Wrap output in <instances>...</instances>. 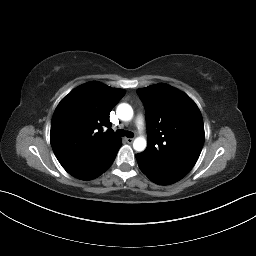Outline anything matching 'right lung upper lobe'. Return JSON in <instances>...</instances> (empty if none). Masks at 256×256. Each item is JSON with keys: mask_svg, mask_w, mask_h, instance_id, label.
I'll return each mask as SVG.
<instances>
[{"mask_svg": "<svg viewBox=\"0 0 256 256\" xmlns=\"http://www.w3.org/2000/svg\"><path fill=\"white\" fill-rule=\"evenodd\" d=\"M125 93L92 81L62 99L52 118L50 140L64 169L121 144L111 129L109 114Z\"/></svg>", "mask_w": 256, "mask_h": 256, "instance_id": "right-lung-upper-lobe-1", "label": "right lung upper lobe"}]
</instances>
